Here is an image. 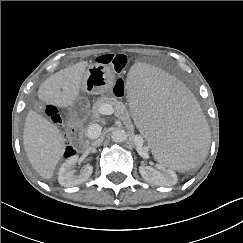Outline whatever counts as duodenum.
<instances>
[{
  "label": "duodenum",
  "instance_id": "410a0bca",
  "mask_svg": "<svg viewBox=\"0 0 243 243\" xmlns=\"http://www.w3.org/2000/svg\"><path fill=\"white\" fill-rule=\"evenodd\" d=\"M68 132H69L71 137H73L77 140V143H78L77 148L82 149V148L85 147V142L80 137V125H79V123L77 122L76 119H73L69 123Z\"/></svg>",
  "mask_w": 243,
  "mask_h": 243
}]
</instances>
